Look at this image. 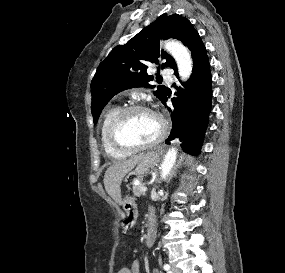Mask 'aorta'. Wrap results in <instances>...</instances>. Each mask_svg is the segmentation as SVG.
Returning a JSON list of instances; mask_svg holds the SVG:
<instances>
[{
  "mask_svg": "<svg viewBox=\"0 0 285 273\" xmlns=\"http://www.w3.org/2000/svg\"><path fill=\"white\" fill-rule=\"evenodd\" d=\"M165 49L173 56L176 61L179 75L182 80H187L192 72V59L188 49L179 41H167ZM177 157L176 148H170L165 155L161 165V178L165 179L173 168Z\"/></svg>",
  "mask_w": 285,
  "mask_h": 273,
  "instance_id": "1",
  "label": "aorta"
}]
</instances>
